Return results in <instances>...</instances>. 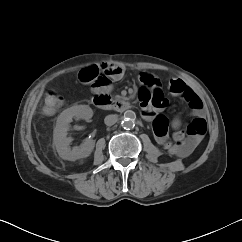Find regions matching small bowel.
<instances>
[{
    "label": "small bowel",
    "instance_id": "obj_1",
    "mask_svg": "<svg viewBox=\"0 0 242 242\" xmlns=\"http://www.w3.org/2000/svg\"><path fill=\"white\" fill-rule=\"evenodd\" d=\"M103 69L109 73L111 80L109 83H107L105 85L94 86V91H103V92L108 91L110 89V84L114 81L120 80L125 73V69L122 66L115 65V64H105ZM144 75H150V74H142L141 78ZM175 82H179L182 85L183 90L190 89L189 86L184 81H182L178 78L171 79L170 89H171L173 83H175ZM174 94L180 96V94H176V93H174ZM139 99L141 102L142 115L146 120L151 121L153 123V125L160 119H163L165 121L166 130L164 132H162L161 134H157L155 131L154 132H155V135H156V138H157V141L159 144L170 145L169 144V133H168L169 120L167 119V117L164 116L163 114L157 112V110L154 108V103L152 102V100L147 101V100L142 99L141 94L139 95ZM164 106H165V102H164V100H162L160 102L159 107H164ZM190 107H191V115L193 117V120L188 125L186 132L182 127V122H181V119L179 116L173 117V119L170 122L171 127L173 129L171 136H172V139L174 140V145L172 146V151L181 157L188 156L199 145V143L201 142V140L204 136V134L201 135L199 133L189 134L187 132L188 128H194L195 122H198V121L201 122L205 126V128H207L206 120L203 115V104H202L200 98H199V103L196 106H190Z\"/></svg>",
    "mask_w": 242,
    "mask_h": 242
}]
</instances>
